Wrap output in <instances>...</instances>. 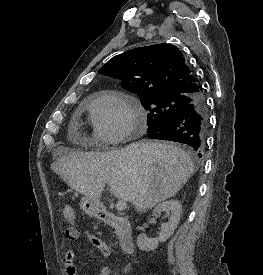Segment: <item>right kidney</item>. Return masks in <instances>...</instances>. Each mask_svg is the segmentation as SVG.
<instances>
[{
    "label": "right kidney",
    "instance_id": "right-kidney-1",
    "mask_svg": "<svg viewBox=\"0 0 263 275\" xmlns=\"http://www.w3.org/2000/svg\"><path fill=\"white\" fill-rule=\"evenodd\" d=\"M162 212L171 213L169 221L161 225V232L157 238H148L144 233L138 235L137 246L140 250L154 251L158 247L159 242H165L170 238L180 221L182 205L178 200L164 201L154 208L152 216H157Z\"/></svg>",
    "mask_w": 263,
    "mask_h": 275
}]
</instances>
